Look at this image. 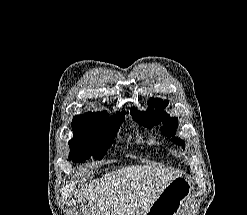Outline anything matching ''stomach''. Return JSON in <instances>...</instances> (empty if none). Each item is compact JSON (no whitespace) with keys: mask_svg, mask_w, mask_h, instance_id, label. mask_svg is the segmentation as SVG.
I'll return each instance as SVG.
<instances>
[{"mask_svg":"<svg viewBox=\"0 0 247 215\" xmlns=\"http://www.w3.org/2000/svg\"><path fill=\"white\" fill-rule=\"evenodd\" d=\"M192 191L191 182L184 177L177 176L162 189L144 215H180Z\"/></svg>","mask_w":247,"mask_h":215,"instance_id":"obj_1","label":"stomach"}]
</instances>
